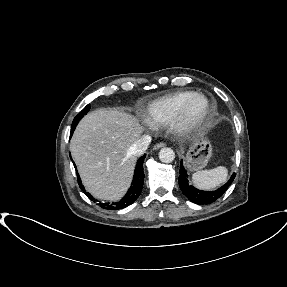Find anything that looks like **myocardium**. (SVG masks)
Here are the masks:
<instances>
[{
  "mask_svg": "<svg viewBox=\"0 0 287 287\" xmlns=\"http://www.w3.org/2000/svg\"><path fill=\"white\" fill-rule=\"evenodd\" d=\"M196 102H203L204 109L199 115L194 116L192 109ZM213 113L212 101L207 96L196 93L182 105L177 115L170 122L171 128L179 136H188L204 127Z\"/></svg>",
  "mask_w": 287,
  "mask_h": 287,
  "instance_id": "f54148a6",
  "label": "myocardium"
}]
</instances>
